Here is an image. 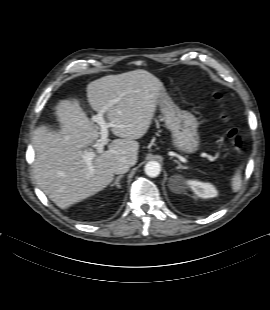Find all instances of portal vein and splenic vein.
I'll list each match as a JSON object with an SVG mask.
<instances>
[{"label":"portal vein and splenic vein","mask_w":270,"mask_h":310,"mask_svg":"<svg viewBox=\"0 0 270 310\" xmlns=\"http://www.w3.org/2000/svg\"><path fill=\"white\" fill-rule=\"evenodd\" d=\"M106 109H102L98 112L97 115L92 117V120L96 123H98V125L100 126V139L98 140V142L96 143V149L97 152L96 153H101L103 152V148L104 145H106L107 141H108V129L110 127H114V124L112 123H107L103 117V114L105 113ZM95 152L92 151H88V152H84L81 157L82 159L87 163L88 167L90 170H92V160L94 159V157L96 156ZM203 157L207 158L210 161H214L215 158L212 157L209 154L203 153L202 154Z\"/></svg>","instance_id":"obj_1"}]
</instances>
